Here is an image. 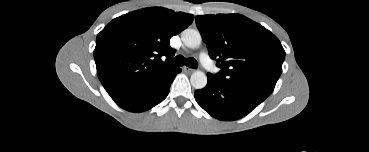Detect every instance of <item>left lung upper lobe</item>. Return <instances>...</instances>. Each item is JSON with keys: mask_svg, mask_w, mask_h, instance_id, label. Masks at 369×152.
<instances>
[{"mask_svg": "<svg viewBox=\"0 0 369 152\" xmlns=\"http://www.w3.org/2000/svg\"><path fill=\"white\" fill-rule=\"evenodd\" d=\"M195 21L221 69L214 76L226 84L272 93L285 58L275 35L240 14L197 16Z\"/></svg>", "mask_w": 369, "mask_h": 152, "instance_id": "left-lung-upper-lobe-1", "label": "left lung upper lobe"}]
</instances>
